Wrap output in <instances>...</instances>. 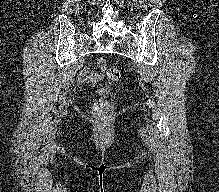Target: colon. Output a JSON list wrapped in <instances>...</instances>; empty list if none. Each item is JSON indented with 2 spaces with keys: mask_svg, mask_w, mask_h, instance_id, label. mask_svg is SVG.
<instances>
[{
  "mask_svg": "<svg viewBox=\"0 0 219 192\" xmlns=\"http://www.w3.org/2000/svg\"><path fill=\"white\" fill-rule=\"evenodd\" d=\"M106 76L111 81H118L121 78V71L118 68L110 67L106 71ZM112 102L110 99H99L92 107L94 119L99 122H105L110 114Z\"/></svg>",
  "mask_w": 219,
  "mask_h": 192,
  "instance_id": "5ec220e1",
  "label": "colon"
}]
</instances>
